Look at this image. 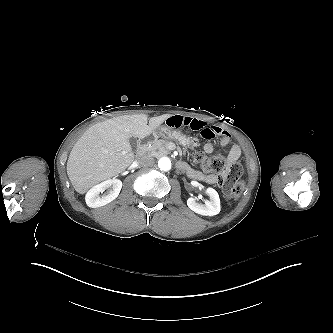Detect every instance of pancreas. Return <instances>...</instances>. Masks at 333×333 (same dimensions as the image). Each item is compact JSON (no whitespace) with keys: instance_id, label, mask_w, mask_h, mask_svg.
<instances>
[{"instance_id":"1","label":"pancreas","mask_w":333,"mask_h":333,"mask_svg":"<svg viewBox=\"0 0 333 333\" xmlns=\"http://www.w3.org/2000/svg\"><path fill=\"white\" fill-rule=\"evenodd\" d=\"M169 143L170 141L166 139H158L152 142L151 145H149L146 155L152 156V157H162L169 154L171 151L169 149Z\"/></svg>"}]
</instances>
